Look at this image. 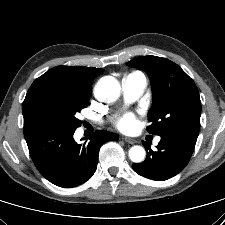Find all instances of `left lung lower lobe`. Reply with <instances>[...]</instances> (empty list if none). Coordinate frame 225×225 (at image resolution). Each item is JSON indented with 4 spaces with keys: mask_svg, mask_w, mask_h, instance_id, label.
<instances>
[{
    "mask_svg": "<svg viewBox=\"0 0 225 225\" xmlns=\"http://www.w3.org/2000/svg\"><path fill=\"white\" fill-rule=\"evenodd\" d=\"M160 137L157 151H152L144 142L145 149L149 150L146 160L132 167L143 177L164 181L177 175L188 164L196 141L169 133Z\"/></svg>",
    "mask_w": 225,
    "mask_h": 225,
    "instance_id": "1",
    "label": "left lung lower lobe"
}]
</instances>
